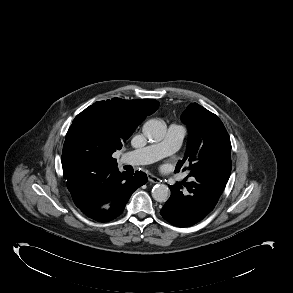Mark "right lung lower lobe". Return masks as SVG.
<instances>
[{
	"mask_svg": "<svg viewBox=\"0 0 293 293\" xmlns=\"http://www.w3.org/2000/svg\"><path fill=\"white\" fill-rule=\"evenodd\" d=\"M147 182L146 174L120 173L116 167L99 168L70 190L75 205L88 217L106 222L118 217L132 193ZM95 204L104 206L96 207Z\"/></svg>",
	"mask_w": 293,
	"mask_h": 293,
	"instance_id": "98d812e1",
	"label": "right lung lower lobe"
}]
</instances>
